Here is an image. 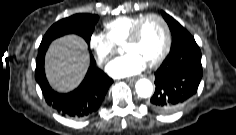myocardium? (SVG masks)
Returning a JSON list of instances; mask_svg holds the SVG:
<instances>
[{
  "label": "myocardium",
  "mask_w": 236,
  "mask_h": 135,
  "mask_svg": "<svg viewBox=\"0 0 236 135\" xmlns=\"http://www.w3.org/2000/svg\"><path fill=\"white\" fill-rule=\"evenodd\" d=\"M148 18H156L158 19L163 28H164V32H165V43H164V47L160 53V55L158 56L157 59H155L152 62L147 63V66L150 68L156 67L158 65H160L163 60L166 58L167 54L169 53L170 47H171V32H170V28L168 23L166 22V20L159 14L157 13H148L145 14L132 28L129 36L127 37V39L125 40V42L123 43V48H125L126 46L133 44L137 41L139 34H140V30L141 27L143 25V23L148 19Z\"/></svg>",
  "instance_id": "obj_1"
}]
</instances>
